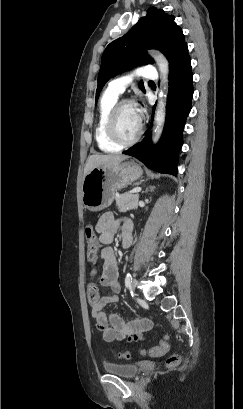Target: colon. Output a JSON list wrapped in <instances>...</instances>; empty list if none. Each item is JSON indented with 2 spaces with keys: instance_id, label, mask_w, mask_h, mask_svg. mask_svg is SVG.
Segmentation results:
<instances>
[{
  "instance_id": "1",
  "label": "colon",
  "mask_w": 243,
  "mask_h": 409,
  "mask_svg": "<svg viewBox=\"0 0 243 409\" xmlns=\"http://www.w3.org/2000/svg\"><path fill=\"white\" fill-rule=\"evenodd\" d=\"M84 234L87 241V256L93 259L97 256L100 248V240L94 232V228L91 224H88L84 228ZM87 297L91 305L98 303L100 299L99 290L95 286H88ZM169 350V337L165 335L157 346H153L148 350H143L142 353L148 352L152 356H158L166 353ZM120 356L124 359H130L131 354L129 352L120 353ZM180 363V355L174 354L167 358V366L169 368H175Z\"/></svg>"
}]
</instances>
